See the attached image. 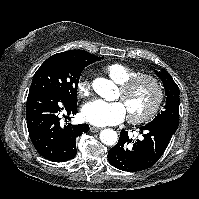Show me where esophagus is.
<instances>
[{
  "label": "esophagus",
  "instance_id": "esophagus-1",
  "mask_svg": "<svg viewBox=\"0 0 199 199\" xmlns=\"http://www.w3.org/2000/svg\"><path fill=\"white\" fill-rule=\"evenodd\" d=\"M90 131H91L92 133H96V132H99V131H100V128L94 127V126H90Z\"/></svg>",
  "mask_w": 199,
  "mask_h": 199
}]
</instances>
